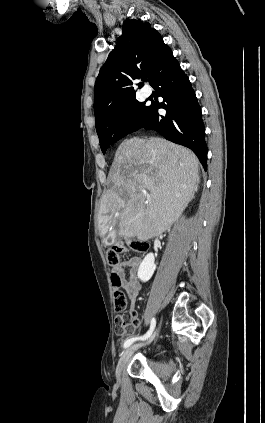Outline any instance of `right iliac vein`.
<instances>
[{
    "instance_id": "right-iliac-vein-1",
    "label": "right iliac vein",
    "mask_w": 265,
    "mask_h": 423,
    "mask_svg": "<svg viewBox=\"0 0 265 423\" xmlns=\"http://www.w3.org/2000/svg\"><path fill=\"white\" fill-rule=\"evenodd\" d=\"M155 337V334L153 336H151V338L145 342V343H138V344H134L130 347H128L122 354L121 358L119 359V362L117 364L116 367V376L119 378L122 374V371L124 370L128 360L130 359V357L132 356V354L141 346L150 343L153 338Z\"/></svg>"
}]
</instances>
